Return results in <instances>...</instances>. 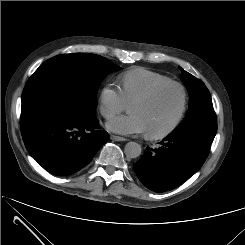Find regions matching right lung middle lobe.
<instances>
[{
	"label": "right lung middle lobe",
	"mask_w": 245,
	"mask_h": 245,
	"mask_svg": "<svg viewBox=\"0 0 245 245\" xmlns=\"http://www.w3.org/2000/svg\"><path fill=\"white\" fill-rule=\"evenodd\" d=\"M45 63L64 73L63 80H28L22 93L21 123L61 112L88 118L95 112L96 94L106 74L120 67L108 59L89 53L55 56Z\"/></svg>",
	"instance_id": "right-lung-middle-lobe-1"
}]
</instances>
